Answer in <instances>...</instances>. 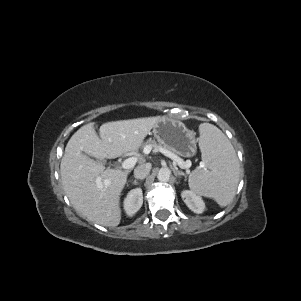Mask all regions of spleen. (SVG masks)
<instances>
[{
	"mask_svg": "<svg viewBox=\"0 0 301 301\" xmlns=\"http://www.w3.org/2000/svg\"><path fill=\"white\" fill-rule=\"evenodd\" d=\"M199 145L207 169L194 170L189 187L194 193L227 206L234 198L239 182V161L227 137L216 126L200 125Z\"/></svg>",
	"mask_w": 301,
	"mask_h": 301,
	"instance_id": "1",
	"label": "spleen"
}]
</instances>
